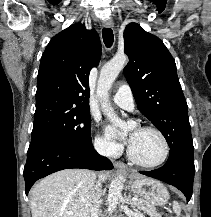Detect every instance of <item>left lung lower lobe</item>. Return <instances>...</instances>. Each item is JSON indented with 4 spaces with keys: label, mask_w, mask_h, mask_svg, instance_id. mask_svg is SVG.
Returning <instances> with one entry per match:
<instances>
[{
    "label": "left lung lower lobe",
    "mask_w": 211,
    "mask_h": 217,
    "mask_svg": "<svg viewBox=\"0 0 211 217\" xmlns=\"http://www.w3.org/2000/svg\"><path fill=\"white\" fill-rule=\"evenodd\" d=\"M146 176L159 179L178 188L191 199L195 173L194 155L186 153L170 154L166 164L152 171H139Z\"/></svg>",
    "instance_id": "0a47b994"
}]
</instances>
